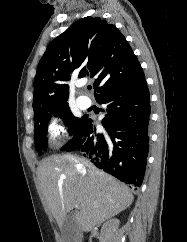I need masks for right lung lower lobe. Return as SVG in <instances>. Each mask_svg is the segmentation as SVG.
<instances>
[{"label": "right lung lower lobe", "mask_w": 187, "mask_h": 242, "mask_svg": "<svg viewBox=\"0 0 187 242\" xmlns=\"http://www.w3.org/2000/svg\"><path fill=\"white\" fill-rule=\"evenodd\" d=\"M96 100L106 105L102 125L107 133H96L92 119L85 116L61 150H79L98 168L140 187L149 151L150 99L145 76Z\"/></svg>", "instance_id": "obj_1"}]
</instances>
